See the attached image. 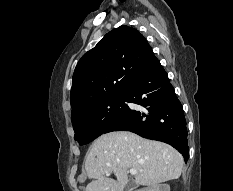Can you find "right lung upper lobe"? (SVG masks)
Wrapping results in <instances>:
<instances>
[{"instance_id": "obj_1", "label": "right lung upper lobe", "mask_w": 233, "mask_h": 191, "mask_svg": "<svg viewBox=\"0 0 233 191\" xmlns=\"http://www.w3.org/2000/svg\"><path fill=\"white\" fill-rule=\"evenodd\" d=\"M153 55L146 39L134 28L122 25L107 33L75 68L71 116L125 96Z\"/></svg>"}]
</instances>
